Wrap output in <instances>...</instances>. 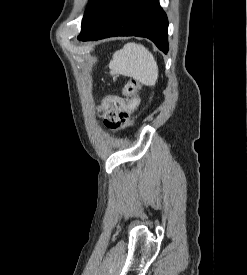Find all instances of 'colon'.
<instances>
[{
    "label": "colon",
    "instance_id": "obj_1",
    "mask_svg": "<svg viewBox=\"0 0 247 275\" xmlns=\"http://www.w3.org/2000/svg\"><path fill=\"white\" fill-rule=\"evenodd\" d=\"M140 82L129 80L123 88L124 97L107 95L103 100L105 124L108 128L118 129L134 126L132 114L139 106Z\"/></svg>",
    "mask_w": 247,
    "mask_h": 275
}]
</instances>
